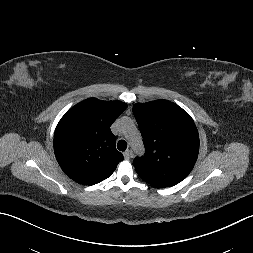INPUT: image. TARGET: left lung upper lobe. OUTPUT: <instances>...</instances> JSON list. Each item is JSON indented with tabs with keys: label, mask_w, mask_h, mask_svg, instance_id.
<instances>
[{
	"label": "left lung upper lobe",
	"mask_w": 253,
	"mask_h": 253,
	"mask_svg": "<svg viewBox=\"0 0 253 253\" xmlns=\"http://www.w3.org/2000/svg\"><path fill=\"white\" fill-rule=\"evenodd\" d=\"M133 114L145 146V155L134 159L137 174L158 188L181 182L199 152L198 130L190 115L167 100L136 103Z\"/></svg>",
	"instance_id": "left-lung-upper-lobe-1"
}]
</instances>
